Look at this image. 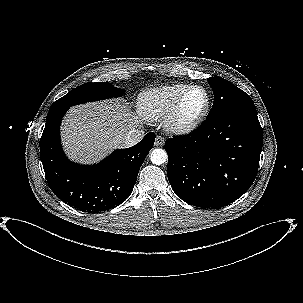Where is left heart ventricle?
Segmentation results:
<instances>
[{
    "instance_id": "left-heart-ventricle-1",
    "label": "left heart ventricle",
    "mask_w": 303,
    "mask_h": 303,
    "mask_svg": "<svg viewBox=\"0 0 303 303\" xmlns=\"http://www.w3.org/2000/svg\"><path fill=\"white\" fill-rule=\"evenodd\" d=\"M205 94L200 89H195L187 96L181 116L183 119H191L202 111L205 105Z\"/></svg>"
}]
</instances>
